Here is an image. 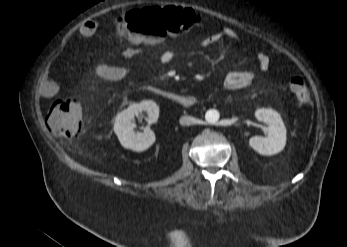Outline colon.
I'll return each mask as SVG.
<instances>
[{
  "mask_svg": "<svg viewBox=\"0 0 347 247\" xmlns=\"http://www.w3.org/2000/svg\"><path fill=\"white\" fill-rule=\"evenodd\" d=\"M200 21V16L189 9L176 6H154L133 10L116 20V28L121 36L133 41L159 43L168 35L191 30ZM290 91L299 105L310 101V90L301 77L290 82ZM50 131L58 137H78L84 128L80 104L71 97L55 99L47 114Z\"/></svg>",
  "mask_w": 347,
  "mask_h": 247,
  "instance_id": "colon-1",
  "label": "colon"
}]
</instances>
